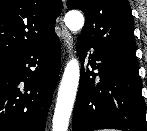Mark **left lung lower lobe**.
Returning a JSON list of instances; mask_svg holds the SVG:
<instances>
[{
    "label": "left lung lower lobe",
    "instance_id": "obj_1",
    "mask_svg": "<svg viewBox=\"0 0 147 131\" xmlns=\"http://www.w3.org/2000/svg\"><path fill=\"white\" fill-rule=\"evenodd\" d=\"M90 48L94 51L88 56V62L93 70L99 71L98 74L84 68ZM77 50L82 67L73 113V131H147L146 105L141 94L138 68L92 47L82 39H78Z\"/></svg>",
    "mask_w": 147,
    "mask_h": 131
}]
</instances>
